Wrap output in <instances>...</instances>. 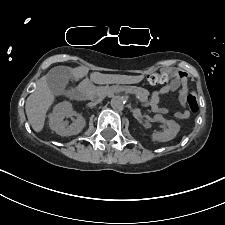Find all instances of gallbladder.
<instances>
[{
	"mask_svg": "<svg viewBox=\"0 0 225 225\" xmlns=\"http://www.w3.org/2000/svg\"><path fill=\"white\" fill-rule=\"evenodd\" d=\"M47 83L55 95H66L70 97H78L76 90H66L68 80L70 78V70L65 66H57L51 69L46 75Z\"/></svg>",
	"mask_w": 225,
	"mask_h": 225,
	"instance_id": "bac80fb5",
	"label": "gallbladder"
}]
</instances>
